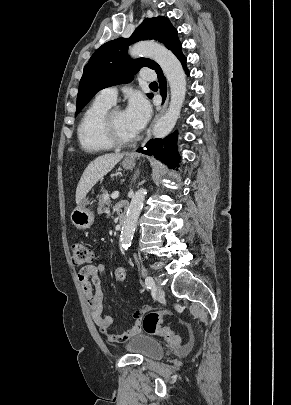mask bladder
Masks as SVG:
<instances>
[{
	"mask_svg": "<svg viewBox=\"0 0 291 405\" xmlns=\"http://www.w3.org/2000/svg\"><path fill=\"white\" fill-rule=\"evenodd\" d=\"M127 351L140 355L145 359L157 360L164 355V346L156 338L148 334H137L125 345Z\"/></svg>",
	"mask_w": 291,
	"mask_h": 405,
	"instance_id": "bladder-1",
	"label": "bladder"
}]
</instances>
